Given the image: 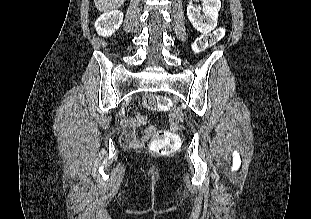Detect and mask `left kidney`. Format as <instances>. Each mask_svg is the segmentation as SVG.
<instances>
[{"label": "left kidney", "instance_id": "1", "mask_svg": "<svg viewBox=\"0 0 311 219\" xmlns=\"http://www.w3.org/2000/svg\"><path fill=\"white\" fill-rule=\"evenodd\" d=\"M202 2V8L187 5V16L197 31L207 34L217 26L221 2L220 0H202Z\"/></svg>", "mask_w": 311, "mask_h": 219}]
</instances>
